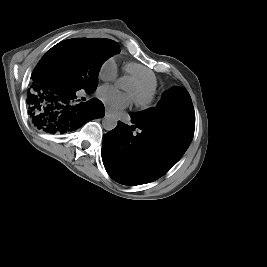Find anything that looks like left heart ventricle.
<instances>
[{
  "label": "left heart ventricle",
  "mask_w": 267,
  "mask_h": 267,
  "mask_svg": "<svg viewBox=\"0 0 267 267\" xmlns=\"http://www.w3.org/2000/svg\"><path fill=\"white\" fill-rule=\"evenodd\" d=\"M129 90H130L131 93H135L136 92L135 87L132 84L129 86Z\"/></svg>",
  "instance_id": "left-heart-ventricle-1"
}]
</instances>
